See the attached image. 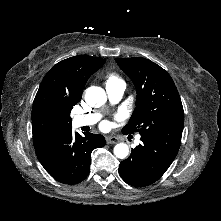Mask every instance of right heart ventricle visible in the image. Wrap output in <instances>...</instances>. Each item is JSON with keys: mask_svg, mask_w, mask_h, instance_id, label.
I'll list each match as a JSON object with an SVG mask.
<instances>
[{"mask_svg": "<svg viewBox=\"0 0 221 221\" xmlns=\"http://www.w3.org/2000/svg\"><path fill=\"white\" fill-rule=\"evenodd\" d=\"M118 82H123L118 75L113 73L107 75L106 84H113Z\"/></svg>", "mask_w": 221, "mask_h": 221, "instance_id": "e07e8e85", "label": "right heart ventricle"}]
</instances>
